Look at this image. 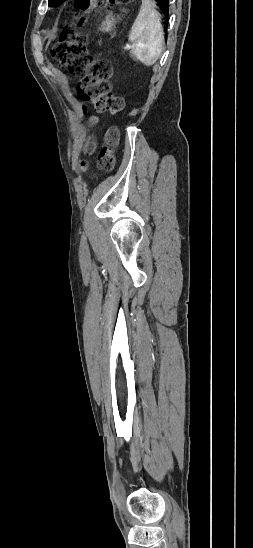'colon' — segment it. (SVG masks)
Here are the masks:
<instances>
[{
	"mask_svg": "<svg viewBox=\"0 0 253 548\" xmlns=\"http://www.w3.org/2000/svg\"><path fill=\"white\" fill-rule=\"evenodd\" d=\"M122 0H112L119 3ZM107 0H75L80 22L85 15L91 13L99 5ZM51 55L60 67L65 68L73 75L81 76L76 87L78 97L85 102H92L96 112H109L112 114L123 110L124 99L112 92L111 66L103 60H95L91 57L86 46V39L77 36L68 30H64L51 50ZM104 147L98 155V168L103 172H109L115 164V151L119 144V132L115 128L107 131L104 139ZM92 142L87 144V151H92ZM84 161L80 167L84 169Z\"/></svg>",
	"mask_w": 253,
	"mask_h": 548,
	"instance_id": "obj_1",
	"label": "colon"
}]
</instances>
